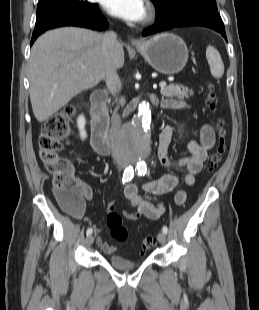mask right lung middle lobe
Returning <instances> with one entry per match:
<instances>
[{
    "mask_svg": "<svg viewBox=\"0 0 259 310\" xmlns=\"http://www.w3.org/2000/svg\"><path fill=\"white\" fill-rule=\"evenodd\" d=\"M95 5L84 0H39L36 24L51 16L76 15L87 12Z\"/></svg>",
    "mask_w": 259,
    "mask_h": 310,
    "instance_id": "right-lung-middle-lobe-1",
    "label": "right lung middle lobe"
}]
</instances>
